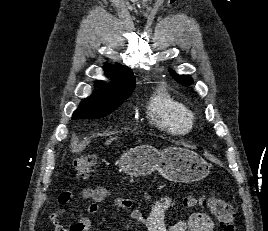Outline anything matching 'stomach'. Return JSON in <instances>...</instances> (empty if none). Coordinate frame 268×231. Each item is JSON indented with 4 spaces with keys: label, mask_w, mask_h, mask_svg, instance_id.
I'll return each instance as SVG.
<instances>
[{
    "label": "stomach",
    "mask_w": 268,
    "mask_h": 231,
    "mask_svg": "<svg viewBox=\"0 0 268 231\" xmlns=\"http://www.w3.org/2000/svg\"><path fill=\"white\" fill-rule=\"evenodd\" d=\"M131 177L147 176L157 170L165 179L175 183H191L204 179L211 165L196 152L171 146L161 151L141 145L124 152L118 161Z\"/></svg>",
    "instance_id": "obj_1"
}]
</instances>
